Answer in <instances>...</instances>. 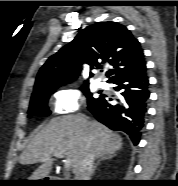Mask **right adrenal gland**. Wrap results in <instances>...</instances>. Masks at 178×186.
Wrapping results in <instances>:
<instances>
[{
  "mask_svg": "<svg viewBox=\"0 0 178 186\" xmlns=\"http://www.w3.org/2000/svg\"><path fill=\"white\" fill-rule=\"evenodd\" d=\"M112 157H114V154H112V153L100 157V158L98 159L97 163L95 164V166L93 167L92 175H94L97 166L100 165V163H101L102 161H105V160L111 159Z\"/></svg>",
  "mask_w": 178,
  "mask_h": 186,
  "instance_id": "obj_1",
  "label": "right adrenal gland"
}]
</instances>
